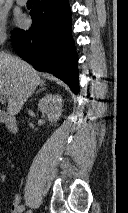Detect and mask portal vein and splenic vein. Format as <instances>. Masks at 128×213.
Wrapping results in <instances>:
<instances>
[{
  "label": "portal vein and splenic vein",
  "instance_id": "18ae733b",
  "mask_svg": "<svg viewBox=\"0 0 128 213\" xmlns=\"http://www.w3.org/2000/svg\"><path fill=\"white\" fill-rule=\"evenodd\" d=\"M6 99L4 96L0 95V103H5Z\"/></svg>",
  "mask_w": 128,
  "mask_h": 213
}]
</instances>
